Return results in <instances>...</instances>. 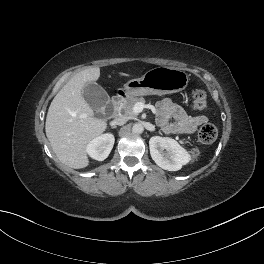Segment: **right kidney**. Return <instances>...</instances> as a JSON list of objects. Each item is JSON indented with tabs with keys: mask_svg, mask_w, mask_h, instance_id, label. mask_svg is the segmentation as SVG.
<instances>
[{
	"mask_svg": "<svg viewBox=\"0 0 264 264\" xmlns=\"http://www.w3.org/2000/svg\"><path fill=\"white\" fill-rule=\"evenodd\" d=\"M114 142L115 138L113 134H102L89 142L86 151L91 158L103 161L109 156Z\"/></svg>",
	"mask_w": 264,
	"mask_h": 264,
	"instance_id": "ca27d5eb",
	"label": "right kidney"
}]
</instances>
